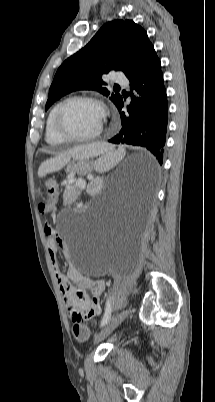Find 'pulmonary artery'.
Segmentation results:
<instances>
[{
  "label": "pulmonary artery",
  "instance_id": "obj_1",
  "mask_svg": "<svg viewBox=\"0 0 215 402\" xmlns=\"http://www.w3.org/2000/svg\"><path fill=\"white\" fill-rule=\"evenodd\" d=\"M113 81L117 84L126 85L128 84L127 78L122 73H116L113 77Z\"/></svg>",
  "mask_w": 215,
  "mask_h": 402
}]
</instances>
